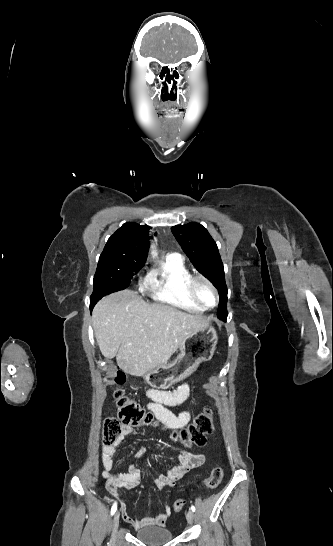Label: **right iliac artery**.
Listing matches in <instances>:
<instances>
[{"instance_id":"82829eb1","label":"right iliac artery","mask_w":333,"mask_h":546,"mask_svg":"<svg viewBox=\"0 0 333 546\" xmlns=\"http://www.w3.org/2000/svg\"><path fill=\"white\" fill-rule=\"evenodd\" d=\"M117 510V503L115 502L111 508V515H113Z\"/></svg>"}]
</instances>
